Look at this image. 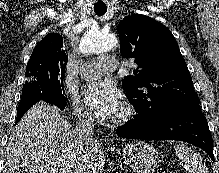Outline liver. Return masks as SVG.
I'll use <instances>...</instances> for the list:
<instances>
[{"label": "liver", "mask_w": 219, "mask_h": 173, "mask_svg": "<svg viewBox=\"0 0 219 173\" xmlns=\"http://www.w3.org/2000/svg\"><path fill=\"white\" fill-rule=\"evenodd\" d=\"M86 159V173H103L104 152L97 142L83 149L60 110L39 101L11 133L2 173H75Z\"/></svg>", "instance_id": "obj_1"}]
</instances>
